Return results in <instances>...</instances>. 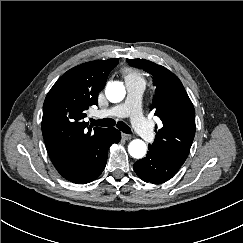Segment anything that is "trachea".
I'll return each instance as SVG.
<instances>
[{
  "label": "trachea",
  "mask_w": 243,
  "mask_h": 243,
  "mask_svg": "<svg viewBox=\"0 0 243 243\" xmlns=\"http://www.w3.org/2000/svg\"><path fill=\"white\" fill-rule=\"evenodd\" d=\"M91 124L93 126L111 127V126H114L116 124V122L111 118H104L102 120L91 119ZM116 127L126 134L131 133V129L122 121H119L117 123Z\"/></svg>",
  "instance_id": "obj_1"
}]
</instances>
